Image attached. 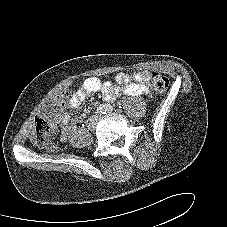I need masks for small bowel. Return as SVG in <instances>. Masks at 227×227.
I'll return each instance as SVG.
<instances>
[{
  "mask_svg": "<svg viewBox=\"0 0 227 227\" xmlns=\"http://www.w3.org/2000/svg\"><path fill=\"white\" fill-rule=\"evenodd\" d=\"M149 79L150 72L146 70L132 75L120 72L115 76L114 82H102L96 77H89L71 94L68 106L72 109L79 108L89 94L97 91H101L106 101H113L122 94L129 96L148 94L150 92ZM71 121L72 115L69 112H62L55 118V123L60 127L62 141H66L70 137Z\"/></svg>",
  "mask_w": 227,
  "mask_h": 227,
  "instance_id": "c3829d8e",
  "label": "small bowel"
}]
</instances>
